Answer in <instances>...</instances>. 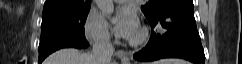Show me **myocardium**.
I'll return each instance as SVG.
<instances>
[{
	"label": "myocardium",
	"instance_id": "obj_1",
	"mask_svg": "<svg viewBox=\"0 0 242 64\" xmlns=\"http://www.w3.org/2000/svg\"><path fill=\"white\" fill-rule=\"evenodd\" d=\"M147 36L148 32L145 28H143L137 33V35L133 39L130 40L129 44L132 46H139L146 41Z\"/></svg>",
	"mask_w": 242,
	"mask_h": 64
}]
</instances>
